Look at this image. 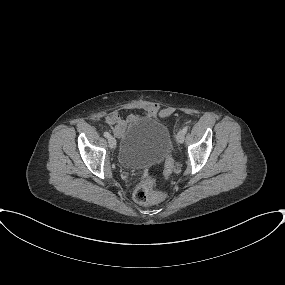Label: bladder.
<instances>
[{
	"label": "bladder",
	"mask_w": 285,
	"mask_h": 285,
	"mask_svg": "<svg viewBox=\"0 0 285 285\" xmlns=\"http://www.w3.org/2000/svg\"><path fill=\"white\" fill-rule=\"evenodd\" d=\"M171 150L168 127L151 117H142L131 123L122 136L118 160L125 168L141 169L162 161Z\"/></svg>",
	"instance_id": "1"
}]
</instances>
